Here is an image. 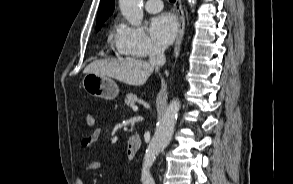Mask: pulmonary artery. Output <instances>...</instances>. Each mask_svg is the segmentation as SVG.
<instances>
[{"label":"pulmonary artery","instance_id":"1","mask_svg":"<svg viewBox=\"0 0 293 184\" xmlns=\"http://www.w3.org/2000/svg\"><path fill=\"white\" fill-rule=\"evenodd\" d=\"M145 9L149 13H158L163 9V3L161 0H147Z\"/></svg>","mask_w":293,"mask_h":184}]
</instances>
